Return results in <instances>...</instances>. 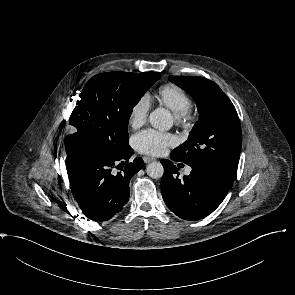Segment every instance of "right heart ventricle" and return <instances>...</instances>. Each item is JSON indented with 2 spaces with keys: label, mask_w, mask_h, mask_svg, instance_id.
<instances>
[{
  "label": "right heart ventricle",
  "mask_w": 295,
  "mask_h": 295,
  "mask_svg": "<svg viewBox=\"0 0 295 295\" xmlns=\"http://www.w3.org/2000/svg\"><path fill=\"white\" fill-rule=\"evenodd\" d=\"M159 102L173 113H184L192 106L187 92L175 84H165L158 89Z\"/></svg>",
  "instance_id": "right-heart-ventricle-1"
}]
</instances>
